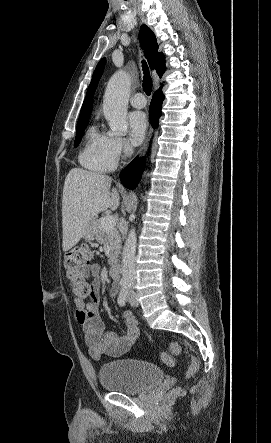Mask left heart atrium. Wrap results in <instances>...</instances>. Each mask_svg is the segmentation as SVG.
<instances>
[{
	"instance_id": "obj_1",
	"label": "left heart atrium",
	"mask_w": 271,
	"mask_h": 443,
	"mask_svg": "<svg viewBox=\"0 0 271 443\" xmlns=\"http://www.w3.org/2000/svg\"><path fill=\"white\" fill-rule=\"evenodd\" d=\"M131 140L134 144H141L148 133L149 123L147 116L142 111H134L128 116Z\"/></svg>"
}]
</instances>
